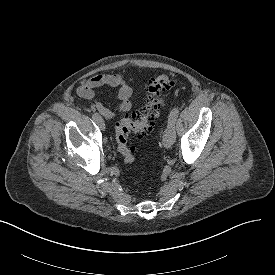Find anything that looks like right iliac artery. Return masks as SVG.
<instances>
[{"instance_id":"1","label":"right iliac artery","mask_w":275,"mask_h":275,"mask_svg":"<svg viewBox=\"0 0 275 275\" xmlns=\"http://www.w3.org/2000/svg\"><path fill=\"white\" fill-rule=\"evenodd\" d=\"M92 118H93L94 121H97L100 118V115L98 113H94L92 115Z\"/></svg>"}]
</instances>
